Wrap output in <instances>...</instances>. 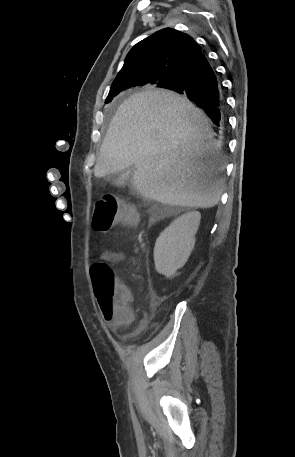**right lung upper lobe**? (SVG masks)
<instances>
[{
	"label": "right lung upper lobe",
	"instance_id": "right-lung-upper-lobe-1",
	"mask_svg": "<svg viewBox=\"0 0 295 457\" xmlns=\"http://www.w3.org/2000/svg\"><path fill=\"white\" fill-rule=\"evenodd\" d=\"M200 54L201 47L188 34L172 28L162 29L129 51L111 88L132 84L161 86L174 80Z\"/></svg>",
	"mask_w": 295,
	"mask_h": 457
}]
</instances>
